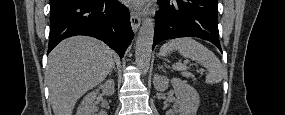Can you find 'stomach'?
Listing matches in <instances>:
<instances>
[{
  "instance_id": "1",
  "label": "stomach",
  "mask_w": 285,
  "mask_h": 115,
  "mask_svg": "<svg viewBox=\"0 0 285 115\" xmlns=\"http://www.w3.org/2000/svg\"><path fill=\"white\" fill-rule=\"evenodd\" d=\"M166 54H167V53H166ZM166 54H163V53L160 51V55H162V56H163V55H166Z\"/></svg>"
}]
</instances>
